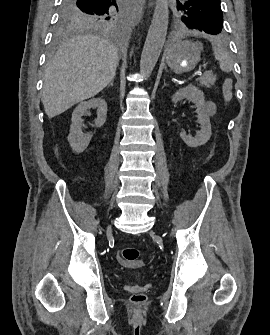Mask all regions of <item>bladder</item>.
Here are the masks:
<instances>
[{
	"label": "bladder",
	"instance_id": "31cf9c89",
	"mask_svg": "<svg viewBox=\"0 0 270 335\" xmlns=\"http://www.w3.org/2000/svg\"><path fill=\"white\" fill-rule=\"evenodd\" d=\"M141 270H138L137 272H132L133 276H137L138 274H140Z\"/></svg>",
	"mask_w": 270,
	"mask_h": 335
}]
</instances>
